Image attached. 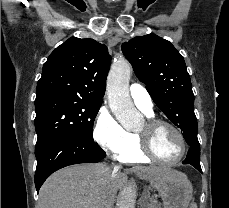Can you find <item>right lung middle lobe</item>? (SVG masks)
Segmentation results:
<instances>
[{
	"label": "right lung middle lobe",
	"instance_id": "1",
	"mask_svg": "<svg viewBox=\"0 0 229 208\" xmlns=\"http://www.w3.org/2000/svg\"><path fill=\"white\" fill-rule=\"evenodd\" d=\"M100 106L63 96L35 101L36 148L61 134H75L93 141V122Z\"/></svg>",
	"mask_w": 229,
	"mask_h": 208
}]
</instances>
